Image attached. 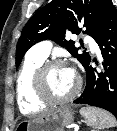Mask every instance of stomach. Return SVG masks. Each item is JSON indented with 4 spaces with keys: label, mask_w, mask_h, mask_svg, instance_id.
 Masks as SVG:
<instances>
[{
    "label": "stomach",
    "mask_w": 117,
    "mask_h": 131,
    "mask_svg": "<svg viewBox=\"0 0 117 131\" xmlns=\"http://www.w3.org/2000/svg\"><path fill=\"white\" fill-rule=\"evenodd\" d=\"M73 121L71 107L63 106L44 116L21 121L16 131H63L65 126L72 124Z\"/></svg>",
    "instance_id": "stomach-1"
}]
</instances>
